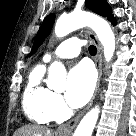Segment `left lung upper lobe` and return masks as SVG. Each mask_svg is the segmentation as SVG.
Returning a JSON list of instances; mask_svg holds the SVG:
<instances>
[{"label": "left lung upper lobe", "mask_w": 136, "mask_h": 136, "mask_svg": "<svg viewBox=\"0 0 136 136\" xmlns=\"http://www.w3.org/2000/svg\"><path fill=\"white\" fill-rule=\"evenodd\" d=\"M86 6L91 9L93 12L107 17L108 20L115 25L116 24V20L113 17L112 13H111V8L108 5V3L106 2V0H86ZM55 21V15L54 14H49L43 21L37 35L34 41V45L32 47V51L31 54H34L36 52V50L38 49V47L43 43V41L45 40V38L49 35L52 26L54 24Z\"/></svg>", "instance_id": "5c2ea615"}]
</instances>
